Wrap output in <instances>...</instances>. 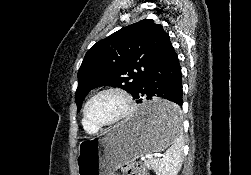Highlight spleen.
I'll return each mask as SVG.
<instances>
[{
  "instance_id": "1",
  "label": "spleen",
  "mask_w": 251,
  "mask_h": 175,
  "mask_svg": "<svg viewBox=\"0 0 251 175\" xmlns=\"http://www.w3.org/2000/svg\"><path fill=\"white\" fill-rule=\"evenodd\" d=\"M180 111L172 107L168 119L173 131V145L167 149L165 157L153 159L152 167L156 175H177L182 165V135L180 133Z\"/></svg>"
}]
</instances>
